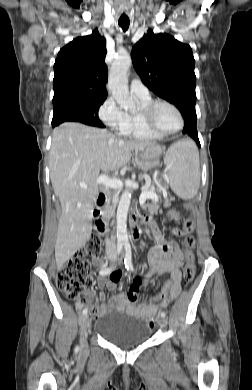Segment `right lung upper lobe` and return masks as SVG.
<instances>
[{
    "label": "right lung upper lobe",
    "instance_id": "1",
    "mask_svg": "<svg viewBox=\"0 0 252 390\" xmlns=\"http://www.w3.org/2000/svg\"><path fill=\"white\" fill-rule=\"evenodd\" d=\"M106 39L95 29L63 47L54 64V101L66 98L106 99Z\"/></svg>",
    "mask_w": 252,
    "mask_h": 390
}]
</instances>
